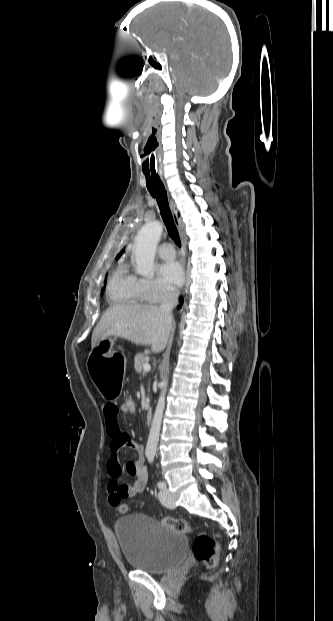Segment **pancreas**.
<instances>
[{
  "instance_id": "1",
  "label": "pancreas",
  "mask_w": 333,
  "mask_h": 621,
  "mask_svg": "<svg viewBox=\"0 0 333 621\" xmlns=\"http://www.w3.org/2000/svg\"><path fill=\"white\" fill-rule=\"evenodd\" d=\"M148 362L147 352L136 354L134 357L135 370L140 373L143 369V365Z\"/></svg>"
}]
</instances>
